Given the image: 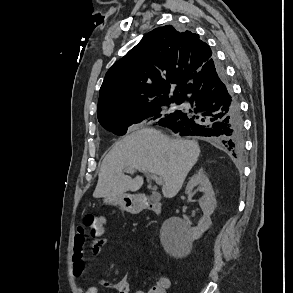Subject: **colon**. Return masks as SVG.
Returning a JSON list of instances; mask_svg holds the SVG:
<instances>
[{
	"instance_id": "5ec220e1",
	"label": "colon",
	"mask_w": 293,
	"mask_h": 293,
	"mask_svg": "<svg viewBox=\"0 0 293 293\" xmlns=\"http://www.w3.org/2000/svg\"><path fill=\"white\" fill-rule=\"evenodd\" d=\"M107 224V218L103 214H86L83 218V227L86 229L90 237H98L102 235ZM163 286L158 282L150 289V293H163Z\"/></svg>"
}]
</instances>
